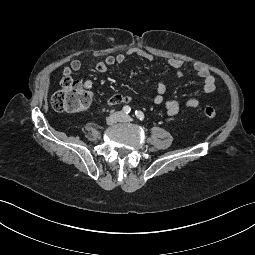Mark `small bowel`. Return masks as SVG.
I'll return each instance as SVG.
<instances>
[{
  "label": "small bowel",
  "instance_id": "small-bowel-1",
  "mask_svg": "<svg viewBox=\"0 0 255 255\" xmlns=\"http://www.w3.org/2000/svg\"><path fill=\"white\" fill-rule=\"evenodd\" d=\"M141 57L148 62L156 61V58L151 53L139 49V48H131L125 53H118L116 55L108 56L104 60L99 61L93 65L96 72L98 74L105 73L110 67L116 64L126 63L132 57ZM168 65L173 68L178 77L183 75V65L184 62L179 59H172L168 61ZM82 68V64L79 60H73L68 65L63 67V74L65 76H70L72 72H77ZM194 70L198 77L202 80L203 90L206 93H213L216 90V81L214 75L205 67L201 65H196ZM84 87L87 90H92L93 81L88 79L84 82ZM166 93V85L164 82L159 81L156 85V90L153 95V102L156 105L164 104L166 113L168 116H176L180 113L182 106L173 99L165 100ZM131 101V97L128 94L117 93L112 95L108 99L109 106H115L122 103H129ZM199 101L196 98L188 99L184 107L185 108H197L199 106Z\"/></svg>",
  "mask_w": 255,
  "mask_h": 255
}]
</instances>
